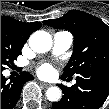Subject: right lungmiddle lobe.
Returning a JSON list of instances; mask_svg holds the SVG:
<instances>
[{"mask_svg": "<svg viewBox=\"0 0 109 109\" xmlns=\"http://www.w3.org/2000/svg\"><path fill=\"white\" fill-rule=\"evenodd\" d=\"M24 43L1 33V70L13 64L14 59L21 54Z\"/></svg>", "mask_w": 109, "mask_h": 109, "instance_id": "dd1d6c3e", "label": "right lung middle lobe"}]
</instances>
